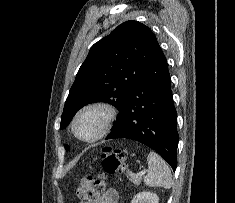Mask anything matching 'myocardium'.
Returning <instances> with one entry per match:
<instances>
[{"mask_svg":"<svg viewBox=\"0 0 235 203\" xmlns=\"http://www.w3.org/2000/svg\"><path fill=\"white\" fill-rule=\"evenodd\" d=\"M89 110L102 111L104 113V122H103L101 130L98 132V134H96L95 136H93L91 138H83L78 134L76 125H77V121L80 118V116ZM116 116H117V110L110 103L103 102V101L91 102V103H88V104L82 106L76 112V114L73 117L72 123H71V129H72L74 136L78 140H80L82 142H86V143H93V142H96V141L102 139L104 136H106L109 133V131L112 128V125L116 119Z\"/></svg>","mask_w":235,"mask_h":203,"instance_id":"1","label":"myocardium"}]
</instances>
